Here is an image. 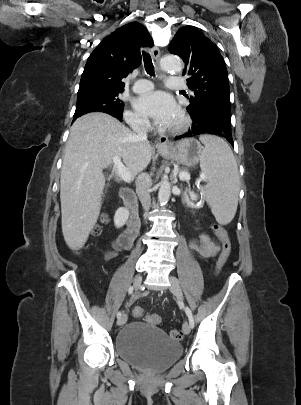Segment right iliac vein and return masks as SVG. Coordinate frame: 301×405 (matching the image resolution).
<instances>
[{"mask_svg":"<svg viewBox=\"0 0 301 405\" xmlns=\"http://www.w3.org/2000/svg\"><path fill=\"white\" fill-rule=\"evenodd\" d=\"M141 283H142V276H141V275H137V276L134 278V281H133V285H134L135 289H138V288L141 286ZM126 321H127V315L124 314V315H122L120 318H118L117 324H118L119 326H122V325H124V324L126 323Z\"/></svg>","mask_w":301,"mask_h":405,"instance_id":"right-iliac-vein-1","label":"right iliac vein"}]
</instances>
